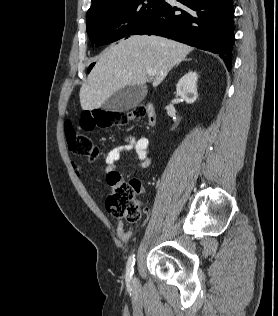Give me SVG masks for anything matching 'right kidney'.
I'll return each instance as SVG.
<instances>
[{"label": "right kidney", "instance_id": "obj_1", "mask_svg": "<svg viewBox=\"0 0 278 316\" xmlns=\"http://www.w3.org/2000/svg\"><path fill=\"white\" fill-rule=\"evenodd\" d=\"M197 80V73L190 71L183 75L176 85L177 95L182 97L187 103H194L198 97Z\"/></svg>", "mask_w": 278, "mask_h": 316}]
</instances>
